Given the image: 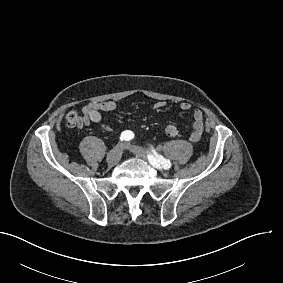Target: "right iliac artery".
<instances>
[{"label":"right iliac artery","instance_id":"82829eb1","mask_svg":"<svg viewBox=\"0 0 283 283\" xmlns=\"http://www.w3.org/2000/svg\"><path fill=\"white\" fill-rule=\"evenodd\" d=\"M133 138H134V133L132 131H129V130L122 132V134L120 136L121 141H123V140L129 141Z\"/></svg>","mask_w":283,"mask_h":283}]
</instances>
